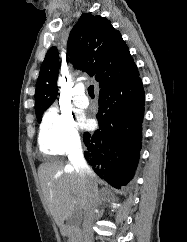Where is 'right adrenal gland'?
Masks as SVG:
<instances>
[{
    "label": "right adrenal gland",
    "mask_w": 187,
    "mask_h": 242,
    "mask_svg": "<svg viewBox=\"0 0 187 242\" xmlns=\"http://www.w3.org/2000/svg\"><path fill=\"white\" fill-rule=\"evenodd\" d=\"M106 193H104V191L99 193V199H98V203L99 205H101L103 202H106L107 200H109V196H107Z\"/></svg>",
    "instance_id": "right-adrenal-gland-1"
}]
</instances>
